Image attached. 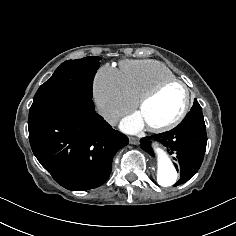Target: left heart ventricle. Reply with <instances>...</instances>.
<instances>
[{
  "label": "left heart ventricle",
  "instance_id": "b2bd125f",
  "mask_svg": "<svg viewBox=\"0 0 236 236\" xmlns=\"http://www.w3.org/2000/svg\"><path fill=\"white\" fill-rule=\"evenodd\" d=\"M184 103V89L178 84H173L166 87L148 102L140 110V113L146 126H162L178 117L183 109Z\"/></svg>",
  "mask_w": 236,
  "mask_h": 236
}]
</instances>
